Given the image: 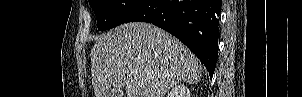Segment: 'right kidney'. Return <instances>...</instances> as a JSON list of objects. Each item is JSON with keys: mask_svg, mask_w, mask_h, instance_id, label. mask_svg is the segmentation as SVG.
<instances>
[{"mask_svg": "<svg viewBox=\"0 0 302 97\" xmlns=\"http://www.w3.org/2000/svg\"><path fill=\"white\" fill-rule=\"evenodd\" d=\"M167 97H190V91L188 87L184 85H178L170 91Z\"/></svg>", "mask_w": 302, "mask_h": 97, "instance_id": "obj_1", "label": "right kidney"}]
</instances>
